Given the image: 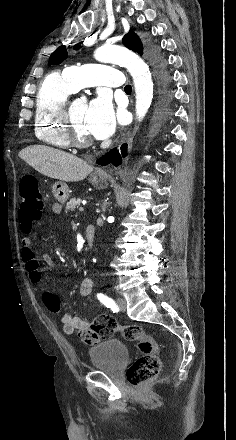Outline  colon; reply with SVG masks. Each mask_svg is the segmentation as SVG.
<instances>
[{"mask_svg": "<svg viewBox=\"0 0 236 440\" xmlns=\"http://www.w3.org/2000/svg\"><path fill=\"white\" fill-rule=\"evenodd\" d=\"M21 204L19 220L25 231H29L34 222L41 219L44 211V202L39 190L38 181L33 175L22 177L19 186ZM46 307L55 313L61 309V302L54 294L45 296ZM90 330L97 333L94 339L99 340L111 337L119 332L129 341H137L141 355L128 368L126 378L131 386H139L155 378L161 369V360L158 355V347L155 339L146 334L138 325H120L113 317L98 316L90 326Z\"/></svg>", "mask_w": 236, "mask_h": 440, "instance_id": "5ec220e1", "label": "colon"}]
</instances>
